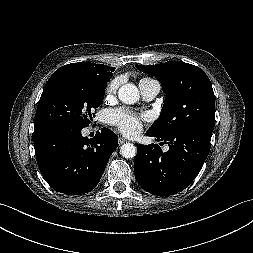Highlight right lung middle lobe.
<instances>
[{
  "mask_svg": "<svg viewBox=\"0 0 253 253\" xmlns=\"http://www.w3.org/2000/svg\"><path fill=\"white\" fill-rule=\"evenodd\" d=\"M108 77L78 69H58L47 81L35 115V130L89 126L94 109L103 101Z\"/></svg>",
  "mask_w": 253,
  "mask_h": 253,
  "instance_id": "obj_1",
  "label": "right lung middle lobe"
}]
</instances>
